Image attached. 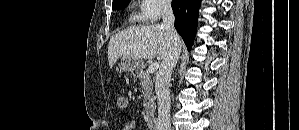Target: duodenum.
I'll return each mask as SVG.
<instances>
[{"label":"duodenum","instance_id":"obj_1","mask_svg":"<svg viewBox=\"0 0 299 130\" xmlns=\"http://www.w3.org/2000/svg\"><path fill=\"white\" fill-rule=\"evenodd\" d=\"M148 126L150 130H158L159 129V120L157 117H149Z\"/></svg>","mask_w":299,"mask_h":130}]
</instances>
